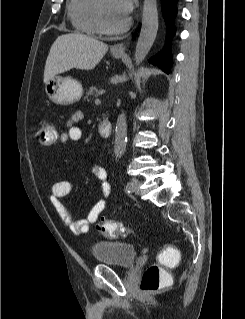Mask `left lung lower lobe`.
Instances as JSON below:
<instances>
[{"mask_svg": "<svg viewBox=\"0 0 245 319\" xmlns=\"http://www.w3.org/2000/svg\"><path fill=\"white\" fill-rule=\"evenodd\" d=\"M161 2H162L163 16L167 24L166 45L164 49L159 54L151 58L149 62L152 63L153 65H157L163 71L169 72L171 68V53L168 46L172 36L175 34L173 19L177 13V8H176L177 0H161Z\"/></svg>", "mask_w": 245, "mask_h": 319, "instance_id": "1", "label": "left lung lower lobe"}]
</instances>
